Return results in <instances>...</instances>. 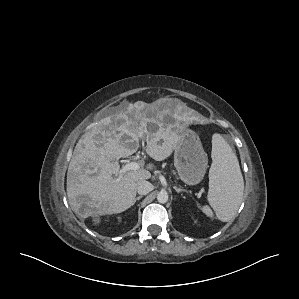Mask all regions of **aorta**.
<instances>
[{
    "mask_svg": "<svg viewBox=\"0 0 299 299\" xmlns=\"http://www.w3.org/2000/svg\"><path fill=\"white\" fill-rule=\"evenodd\" d=\"M157 201L162 204L166 203L168 201V193L166 191H160L157 194Z\"/></svg>",
    "mask_w": 299,
    "mask_h": 299,
    "instance_id": "762f6f07",
    "label": "aorta"
}]
</instances>
